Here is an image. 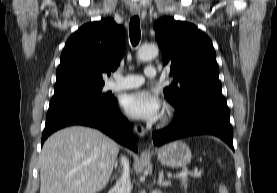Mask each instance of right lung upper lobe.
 <instances>
[{
	"label": "right lung upper lobe",
	"instance_id": "right-lung-upper-lobe-1",
	"mask_svg": "<svg viewBox=\"0 0 277 193\" xmlns=\"http://www.w3.org/2000/svg\"><path fill=\"white\" fill-rule=\"evenodd\" d=\"M124 51L125 30L113 19L85 24L62 51L54 94L104 85L102 74L117 69Z\"/></svg>",
	"mask_w": 277,
	"mask_h": 193
}]
</instances>
